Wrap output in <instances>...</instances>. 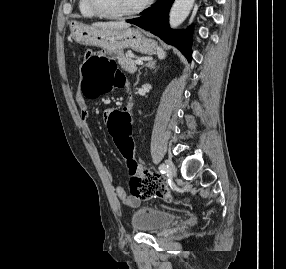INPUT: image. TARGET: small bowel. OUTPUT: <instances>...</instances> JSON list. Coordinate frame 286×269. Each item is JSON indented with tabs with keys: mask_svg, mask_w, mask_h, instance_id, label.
<instances>
[{
	"mask_svg": "<svg viewBox=\"0 0 286 269\" xmlns=\"http://www.w3.org/2000/svg\"><path fill=\"white\" fill-rule=\"evenodd\" d=\"M124 86V83L122 87ZM78 105L80 107V118L82 123L88 128L89 127V120H90V113L87 108V104L84 101L82 97L78 98ZM125 107H127V111H131L132 109V104L128 103ZM113 108H106V111H101L100 112V123H108V118L107 116L110 113V110ZM130 135V134H129ZM106 177L109 183H112L113 181V176L110 172H106ZM114 194L115 196L124 204H126L129 207H137L141 203V198L140 197H135L133 195H128L125 191V189L121 186H117L114 188Z\"/></svg>",
	"mask_w": 286,
	"mask_h": 269,
	"instance_id": "small-bowel-1",
	"label": "small bowel"
}]
</instances>
